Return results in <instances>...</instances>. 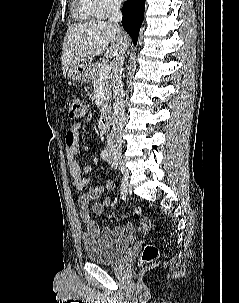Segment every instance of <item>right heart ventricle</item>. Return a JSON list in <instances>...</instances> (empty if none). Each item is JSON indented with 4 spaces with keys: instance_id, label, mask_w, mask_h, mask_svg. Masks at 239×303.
I'll return each mask as SVG.
<instances>
[{
    "instance_id": "obj_1",
    "label": "right heart ventricle",
    "mask_w": 239,
    "mask_h": 303,
    "mask_svg": "<svg viewBox=\"0 0 239 303\" xmlns=\"http://www.w3.org/2000/svg\"><path fill=\"white\" fill-rule=\"evenodd\" d=\"M74 13L78 18L84 20L94 18V16L90 14L85 0H74Z\"/></svg>"
}]
</instances>
